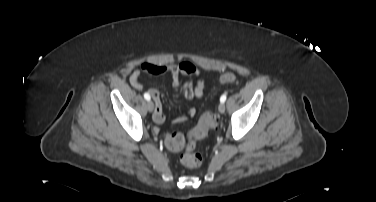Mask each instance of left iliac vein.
Listing matches in <instances>:
<instances>
[{"label": "left iliac vein", "instance_id": "1", "mask_svg": "<svg viewBox=\"0 0 376 202\" xmlns=\"http://www.w3.org/2000/svg\"><path fill=\"white\" fill-rule=\"evenodd\" d=\"M218 110H219L220 113H224L225 112V105H224V103H220L219 104Z\"/></svg>", "mask_w": 376, "mask_h": 202}]
</instances>
